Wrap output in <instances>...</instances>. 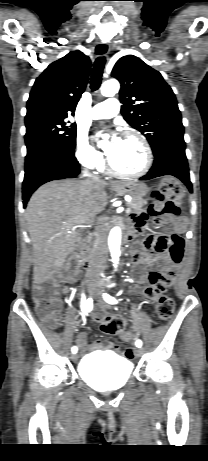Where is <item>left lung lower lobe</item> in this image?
Returning a JSON list of instances; mask_svg holds the SVG:
<instances>
[{
  "mask_svg": "<svg viewBox=\"0 0 208 461\" xmlns=\"http://www.w3.org/2000/svg\"><path fill=\"white\" fill-rule=\"evenodd\" d=\"M155 160L150 171L140 180H149L164 175L179 178L192 192L188 162L185 155V142H171L154 153Z\"/></svg>",
  "mask_w": 208,
  "mask_h": 461,
  "instance_id": "0a47b994",
  "label": "left lung lower lobe"
}]
</instances>
